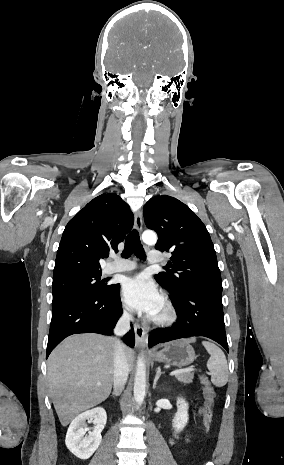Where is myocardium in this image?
I'll use <instances>...</instances> for the list:
<instances>
[{"label": "myocardium", "mask_w": 284, "mask_h": 465, "mask_svg": "<svg viewBox=\"0 0 284 465\" xmlns=\"http://www.w3.org/2000/svg\"><path fill=\"white\" fill-rule=\"evenodd\" d=\"M161 307L163 309V315L161 317L152 315L149 320L158 327L171 326L177 319V314L172 303L167 298H164Z\"/></svg>", "instance_id": "f54148a6"}]
</instances>
